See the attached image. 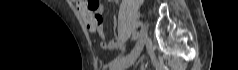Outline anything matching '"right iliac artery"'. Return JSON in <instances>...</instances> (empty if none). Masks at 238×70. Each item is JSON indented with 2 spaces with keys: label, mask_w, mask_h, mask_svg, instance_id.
Here are the masks:
<instances>
[{
  "label": "right iliac artery",
  "mask_w": 238,
  "mask_h": 70,
  "mask_svg": "<svg viewBox=\"0 0 238 70\" xmlns=\"http://www.w3.org/2000/svg\"><path fill=\"white\" fill-rule=\"evenodd\" d=\"M138 38V33L134 34V40H137ZM123 59H125V56H121L116 58L114 61L111 62V64L109 65L110 68L114 67L115 65H117L120 61H122Z\"/></svg>",
  "instance_id": "82829eb1"
}]
</instances>
